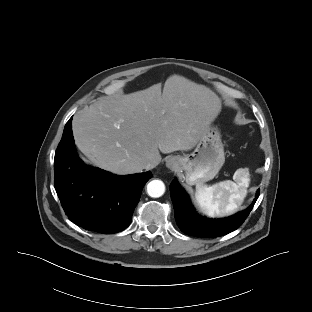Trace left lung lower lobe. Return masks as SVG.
Instances as JSON below:
<instances>
[{"instance_id":"obj_1","label":"left lung lower lobe","mask_w":312,"mask_h":312,"mask_svg":"<svg viewBox=\"0 0 312 312\" xmlns=\"http://www.w3.org/2000/svg\"><path fill=\"white\" fill-rule=\"evenodd\" d=\"M259 191L258 189L253 203L243 212L222 219H209L196 213L190 204L188 195L180 187L177 180H173L170 186L178 227L187 235L205 238L219 237L236 230L252 210L259 197Z\"/></svg>"}]
</instances>
